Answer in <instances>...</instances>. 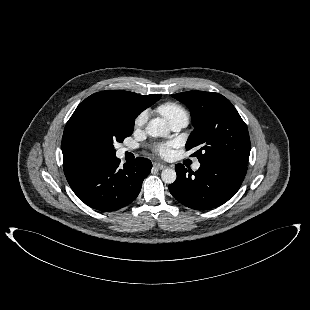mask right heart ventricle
<instances>
[{
  "instance_id": "1",
  "label": "right heart ventricle",
  "mask_w": 310,
  "mask_h": 310,
  "mask_svg": "<svg viewBox=\"0 0 310 310\" xmlns=\"http://www.w3.org/2000/svg\"><path fill=\"white\" fill-rule=\"evenodd\" d=\"M156 111L169 123L171 124L177 120H184L188 122L189 115L187 110L176 102H166L160 104Z\"/></svg>"
}]
</instances>
